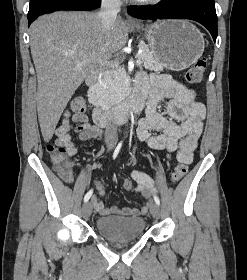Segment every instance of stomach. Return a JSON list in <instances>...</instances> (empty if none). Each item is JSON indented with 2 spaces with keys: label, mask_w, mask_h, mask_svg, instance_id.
Listing matches in <instances>:
<instances>
[{
  "label": "stomach",
  "mask_w": 247,
  "mask_h": 280,
  "mask_svg": "<svg viewBox=\"0 0 247 280\" xmlns=\"http://www.w3.org/2000/svg\"><path fill=\"white\" fill-rule=\"evenodd\" d=\"M137 29L145 33L156 60L169 70H184L203 54V35L189 21L163 20Z\"/></svg>",
  "instance_id": "0dacf381"
}]
</instances>
